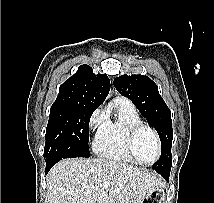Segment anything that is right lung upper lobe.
<instances>
[{
	"mask_svg": "<svg viewBox=\"0 0 214 203\" xmlns=\"http://www.w3.org/2000/svg\"><path fill=\"white\" fill-rule=\"evenodd\" d=\"M109 90V78L106 75L94 74L92 68L84 64L60 86L55 103L84 104L98 108Z\"/></svg>",
	"mask_w": 214,
	"mask_h": 203,
	"instance_id": "obj_1",
	"label": "right lung upper lobe"
}]
</instances>
